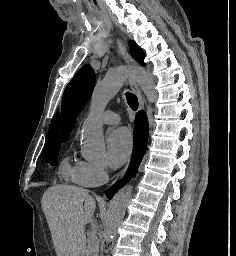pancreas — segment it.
Returning a JSON list of instances; mask_svg holds the SVG:
<instances>
[{
  "label": "pancreas",
  "instance_id": "obj_1",
  "mask_svg": "<svg viewBox=\"0 0 236 256\" xmlns=\"http://www.w3.org/2000/svg\"><path fill=\"white\" fill-rule=\"evenodd\" d=\"M91 224H98V219H91ZM90 238H88V246L90 249L87 250L88 254H95L96 250L93 248H98L99 240L97 238V234L99 233V226H91L90 228Z\"/></svg>",
  "mask_w": 236,
  "mask_h": 256
}]
</instances>
